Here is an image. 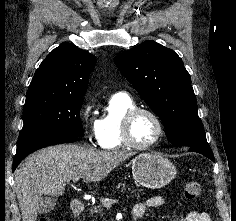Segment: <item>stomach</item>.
<instances>
[{
  "label": "stomach",
  "instance_id": "0dacf381",
  "mask_svg": "<svg viewBox=\"0 0 236 221\" xmlns=\"http://www.w3.org/2000/svg\"><path fill=\"white\" fill-rule=\"evenodd\" d=\"M135 182L146 188L159 189L168 185L176 176L175 165L156 153H143L132 160Z\"/></svg>",
  "mask_w": 236,
  "mask_h": 221
}]
</instances>
